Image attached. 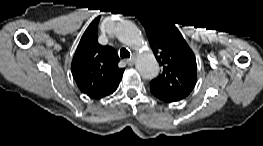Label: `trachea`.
Listing matches in <instances>:
<instances>
[{"label":"trachea","mask_w":263,"mask_h":146,"mask_svg":"<svg viewBox=\"0 0 263 146\" xmlns=\"http://www.w3.org/2000/svg\"><path fill=\"white\" fill-rule=\"evenodd\" d=\"M120 56H121V58H129L130 52L126 48H121Z\"/></svg>","instance_id":"obj_1"}]
</instances>
